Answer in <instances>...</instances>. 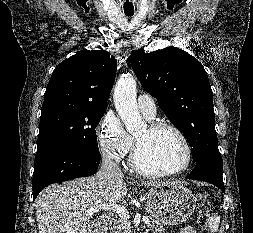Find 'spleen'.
Returning <instances> with one entry per match:
<instances>
[{
  "instance_id": "1",
  "label": "spleen",
  "mask_w": 253,
  "mask_h": 233,
  "mask_svg": "<svg viewBox=\"0 0 253 233\" xmlns=\"http://www.w3.org/2000/svg\"><path fill=\"white\" fill-rule=\"evenodd\" d=\"M220 224V216L215 214L214 216H210L208 218V226L212 232H217Z\"/></svg>"
}]
</instances>
